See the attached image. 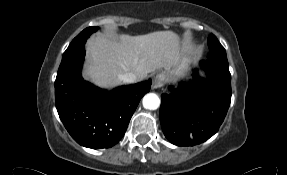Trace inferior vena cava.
<instances>
[{
    "instance_id": "obj_1",
    "label": "inferior vena cava",
    "mask_w": 287,
    "mask_h": 175,
    "mask_svg": "<svg viewBox=\"0 0 287 175\" xmlns=\"http://www.w3.org/2000/svg\"><path fill=\"white\" fill-rule=\"evenodd\" d=\"M122 80L125 83H134L137 81V76L133 72H128V73H125L124 75H122Z\"/></svg>"
}]
</instances>
